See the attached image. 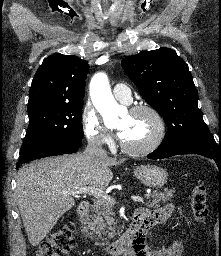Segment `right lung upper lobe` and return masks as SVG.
Segmentation results:
<instances>
[{
  "label": "right lung upper lobe",
  "mask_w": 221,
  "mask_h": 256,
  "mask_svg": "<svg viewBox=\"0 0 221 256\" xmlns=\"http://www.w3.org/2000/svg\"><path fill=\"white\" fill-rule=\"evenodd\" d=\"M88 69L87 61L74 55L54 54L44 59L32 81L28 110L83 103Z\"/></svg>",
  "instance_id": "obj_1"
}]
</instances>
